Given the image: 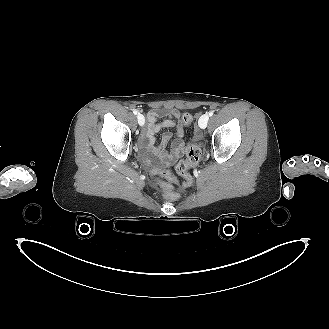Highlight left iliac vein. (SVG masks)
<instances>
[{"mask_svg":"<svg viewBox=\"0 0 329 329\" xmlns=\"http://www.w3.org/2000/svg\"><path fill=\"white\" fill-rule=\"evenodd\" d=\"M208 120H209V116L208 114H204L202 115L200 118H199V127L201 129H205L207 127V124H208Z\"/></svg>","mask_w":329,"mask_h":329,"instance_id":"1","label":"left iliac vein"}]
</instances>
